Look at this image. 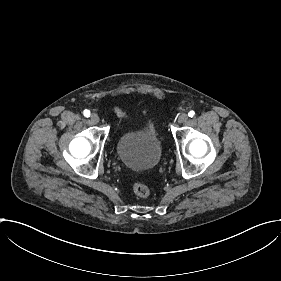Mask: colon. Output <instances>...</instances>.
I'll return each mask as SVG.
<instances>
[{"mask_svg":"<svg viewBox=\"0 0 281 281\" xmlns=\"http://www.w3.org/2000/svg\"><path fill=\"white\" fill-rule=\"evenodd\" d=\"M130 189L133 196L136 198H146L152 192L151 186L148 183L140 180H134L131 183Z\"/></svg>","mask_w":281,"mask_h":281,"instance_id":"5ec220e1","label":"colon"}]
</instances>
